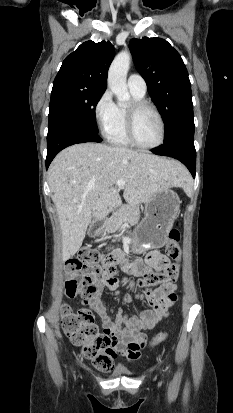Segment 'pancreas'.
<instances>
[{"label":"pancreas","instance_id":"cf45deb5","mask_svg":"<svg viewBox=\"0 0 233 413\" xmlns=\"http://www.w3.org/2000/svg\"><path fill=\"white\" fill-rule=\"evenodd\" d=\"M140 220V210L136 206L123 205L104 222L105 231L113 233L127 225H136Z\"/></svg>","mask_w":233,"mask_h":413}]
</instances>
